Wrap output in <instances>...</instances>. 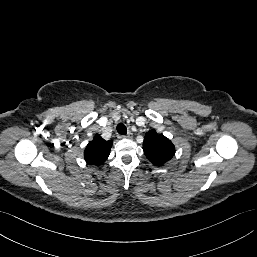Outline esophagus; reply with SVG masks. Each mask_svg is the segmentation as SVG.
I'll return each instance as SVG.
<instances>
[{"label": "esophagus", "instance_id": "esophagus-1", "mask_svg": "<svg viewBox=\"0 0 257 257\" xmlns=\"http://www.w3.org/2000/svg\"><path fill=\"white\" fill-rule=\"evenodd\" d=\"M122 138H125V139H132L133 135L131 132H129L127 135L125 136H121Z\"/></svg>", "mask_w": 257, "mask_h": 257}]
</instances>
